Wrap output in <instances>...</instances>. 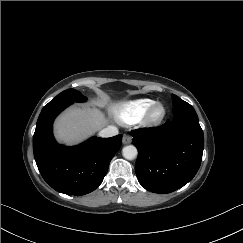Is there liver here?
I'll list each match as a JSON object with an SVG mask.
<instances>
[{
	"mask_svg": "<svg viewBox=\"0 0 243 243\" xmlns=\"http://www.w3.org/2000/svg\"><path fill=\"white\" fill-rule=\"evenodd\" d=\"M106 119L96 107H71L61 114L55 124L59 142L71 145L80 142L102 128Z\"/></svg>",
	"mask_w": 243,
	"mask_h": 243,
	"instance_id": "1",
	"label": "liver"
}]
</instances>
